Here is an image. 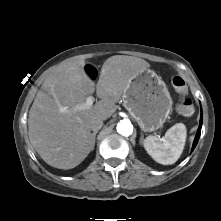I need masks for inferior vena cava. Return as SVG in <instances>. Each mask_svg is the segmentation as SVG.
<instances>
[{
	"mask_svg": "<svg viewBox=\"0 0 221 221\" xmlns=\"http://www.w3.org/2000/svg\"><path fill=\"white\" fill-rule=\"evenodd\" d=\"M102 126H103V120H101V119L93 120L89 124L90 130L93 131V132L98 131L99 129L102 128Z\"/></svg>",
	"mask_w": 221,
	"mask_h": 221,
	"instance_id": "1",
	"label": "inferior vena cava"
}]
</instances>
